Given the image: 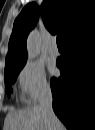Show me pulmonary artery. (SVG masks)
<instances>
[{"mask_svg": "<svg viewBox=\"0 0 95 130\" xmlns=\"http://www.w3.org/2000/svg\"><path fill=\"white\" fill-rule=\"evenodd\" d=\"M49 53L54 56L58 55V53H59L58 47H57L54 39L52 40V43L49 46Z\"/></svg>", "mask_w": 95, "mask_h": 130, "instance_id": "pulmonary-artery-1", "label": "pulmonary artery"}]
</instances>
